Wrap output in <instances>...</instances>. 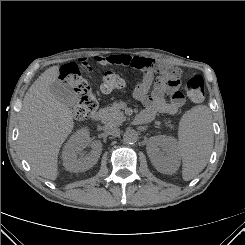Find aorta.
<instances>
[{
	"label": "aorta",
	"instance_id": "1",
	"mask_svg": "<svg viewBox=\"0 0 245 245\" xmlns=\"http://www.w3.org/2000/svg\"><path fill=\"white\" fill-rule=\"evenodd\" d=\"M123 140L125 143L133 144L138 140V133L133 129H128L123 134Z\"/></svg>",
	"mask_w": 245,
	"mask_h": 245
}]
</instances>
